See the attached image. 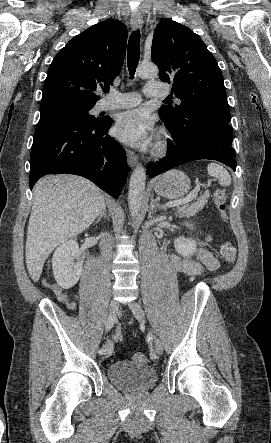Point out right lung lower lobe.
Listing matches in <instances>:
<instances>
[{"mask_svg":"<svg viewBox=\"0 0 271 443\" xmlns=\"http://www.w3.org/2000/svg\"><path fill=\"white\" fill-rule=\"evenodd\" d=\"M112 119L89 124L71 116L39 121L31 148L30 189L46 174H75L90 179L118 198L128 168L123 147L107 135Z\"/></svg>","mask_w":271,"mask_h":443,"instance_id":"1","label":"right lung lower lobe"}]
</instances>
